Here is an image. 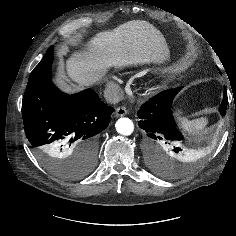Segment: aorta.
I'll list each match as a JSON object with an SVG mask.
<instances>
[{
	"label": "aorta",
	"instance_id": "aorta-1",
	"mask_svg": "<svg viewBox=\"0 0 236 236\" xmlns=\"http://www.w3.org/2000/svg\"><path fill=\"white\" fill-rule=\"evenodd\" d=\"M116 131L124 136L131 135L134 131V124L129 118H120L115 124Z\"/></svg>",
	"mask_w": 236,
	"mask_h": 236
}]
</instances>
